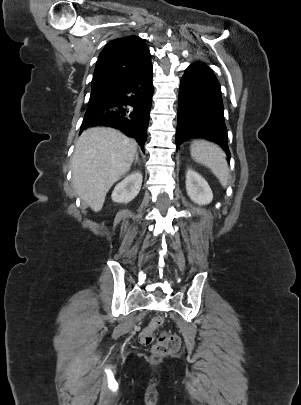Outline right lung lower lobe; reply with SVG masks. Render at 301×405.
Segmentation results:
<instances>
[{
	"instance_id": "right-lung-lower-lobe-1",
	"label": "right lung lower lobe",
	"mask_w": 301,
	"mask_h": 405,
	"mask_svg": "<svg viewBox=\"0 0 301 405\" xmlns=\"http://www.w3.org/2000/svg\"><path fill=\"white\" fill-rule=\"evenodd\" d=\"M151 60L105 101L88 107L81 130L93 126L119 129L144 151L153 96Z\"/></svg>"
}]
</instances>
